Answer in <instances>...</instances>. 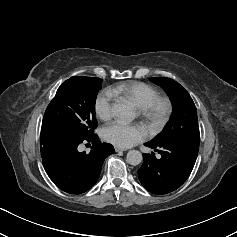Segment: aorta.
Returning <instances> with one entry per match:
<instances>
[{"label":"aorta","instance_id":"762f6f07","mask_svg":"<svg viewBox=\"0 0 237 237\" xmlns=\"http://www.w3.org/2000/svg\"><path fill=\"white\" fill-rule=\"evenodd\" d=\"M113 109H114L115 113L119 117L124 119L125 121H131L135 117L134 111L126 103L119 102L113 106ZM126 160L130 165L136 166L142 162L143 156H142L141 152L138 150H130L127 153Z\"/></svg>","mask_w":237,"mask_h":237}]
</instances>
